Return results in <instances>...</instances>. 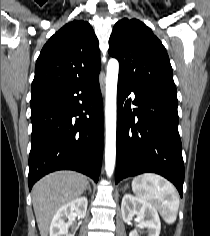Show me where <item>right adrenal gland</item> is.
<instances>
[{
  "mask_svg": "<svg viewBox=\"0 0 210 236\" xmlns=\"http://www.w3.org/2000/svg\"><path fill=\"white\" fill-rule=\"evenodd\" d=\"M86 190H89L90 193L92 192V189H91V186H90L89 182H88V184H87Z\"/></svg>",
  "mask_w": 210,
  "mask_h": 236,
  "instance_id": "1",
  "label": "right adrenal gland"
}]
</instances>
